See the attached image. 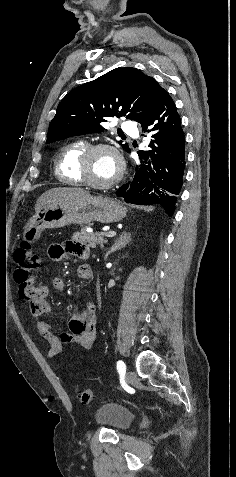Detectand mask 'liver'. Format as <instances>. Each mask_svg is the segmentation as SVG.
I'll return each mask as SVG.
<instances>
[{"label":"liver","mask_w":236,"mask_h":477,"mask_svg":"<svg viewBox=\"0 0 236 477\" xmlns=\"http://www.w3.org/2000/svg\"><path fill=\"white\" fill-rule=\"evenodd\" d=\"M87 194H89V192L81 188H53L46 191L38 198L35 210L38 212L47 205L57 204Z\"/></svg>","instance_id":"liver-1"}]
</instances>
